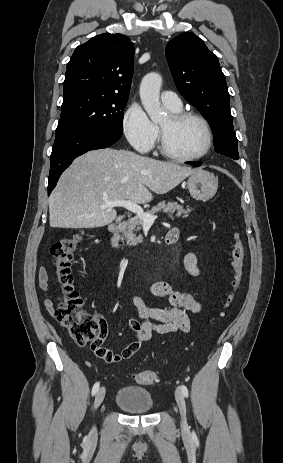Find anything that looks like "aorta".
<instances>
[{
  "instance_id": "aorta-1",
  "label": "aorta",
  "mask_w": 283,
  "mask_h": 463,
  "mask_svg": "<svg viewBox=\"0 0 283 463\" xmlns=\"http://www.w3.org/2000/svg\"><path fill=\"white\" fill-rule=\"evenodd\" d=\"M162 77L157 73H148L140 85V98L142 105L153 122H159L165 117L160 106V88Z\"/></svg>"
}]
</instances>
